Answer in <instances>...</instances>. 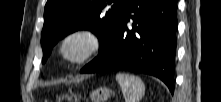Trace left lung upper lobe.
Here are the masks:
<instances>
[{
    "mask_svg": "<svg viewBox=\"0 0 221 102\" xmlns=\"http://www.w3.org/2000/svg\"><path fill=\"white\" fill-rule=\"evenodd\" d=\"M127 0H48L41 34L43 63L52 47L69 33L80 29L94 32L100 50L113 35Z\"/></svg>",
    "mask_w": 221,
    "mask_h": 102,
    "instance_id": "5c2ea615",
    "label": "left lung upper lobe"
}]
</instances>
